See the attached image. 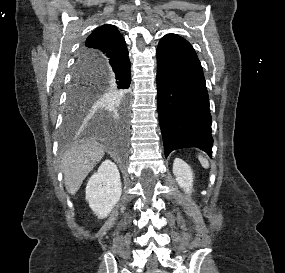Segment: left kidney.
Wrapping results in <instances>:
<instances>
[{
	"label": "left kidney",
	"mask_w": 285,
	"mask_h": 273,
	"mask_svg": "<svg viewBox=\"0 0 285 273\" xmlns=\"http://www.w3.org/2000/svg\"><path fill=\"white\" fill-rule=\"evenodd\" d=\"M173 173L179 186L190 194L193 186V171L190 166L182 159L176 158L173 163Z\"/></svg>",
	"instance_id": "5707ae66"
}]
</instances>
